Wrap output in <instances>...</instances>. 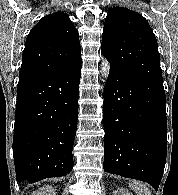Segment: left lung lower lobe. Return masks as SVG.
Returning a JSON list of instances; mask_svg holds the SVG:
<instances>
[{
  "label": "left lung lower lobe",
  "instance_id": "left-lung-lower-lobe-1",
  "mask_svg": "<svg viewBox=\"0 0 178 195\" xmlns=\"http://www.w3.org/2000/svg\"><path fill=\"white\" fill-rule=\"evenodd\" d=\"M106 172L157 191L167 152L164 88L110 65L103 102Z\"/></svg>",
  "mask_w": 178,
  "mask_h": 195
}]
</instances>
